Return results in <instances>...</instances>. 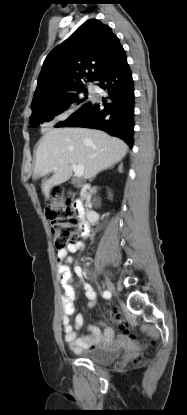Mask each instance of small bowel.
<instances>
[{"mask_svg":"<svg viewBox=\"0 0 187 415\" xmlns=\"http://www.w3.org/2000/svg\"><path fill=\"white\" fill-rule=\"evenodd\" d=\"M84 248L83 242H78L68 246L63 250L57 251L58 273L59 280L64 290V296L62 298V325L64 331V339L67 345L75 352L96 350L106 346L113 345L119 341L124 340V337L114 338V332L109 326L102 324L103 332L99 327L91 325L89 327L90 333L88 335H82L77 337L75 330L80 329L84 324V315L77 314L74 324H71L70 316L74 313V300L76 297L75 287L72 285L73 274L70 269V263H72V257L69 253L76 252ZM75 274L80 278L81 284L85 290V295L89 301V305H93L96 300V293L92 285L84 280L85 272L79 265L74 267Z\"/></svg>","mask_w":187,"mask_h":415,"instance_id":"obj_1","label":"small bowel"}]
</instances>
